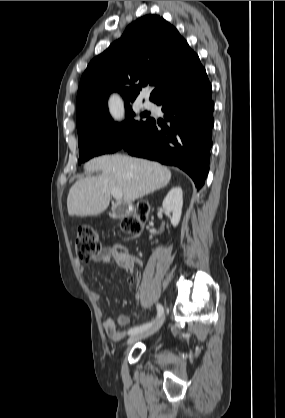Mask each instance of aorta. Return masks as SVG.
I'll return each mask as SVG.
<instances>
[{
	"mask_svg": "<svg viewBox=\"0 0 285 418\" xmlns=\"http://www.w3.org/2000/svg\"><path fill=\"white\" fill-rule=\"evenodd\" d=\"M109 105H110V110H111L112 115L117 119L120 118L122 115V107H121V103L118 97L116 96L111 97L109 101Z\"/></svg>",
	"mask_w": 285,
	"mask_h": 418,
	"instance_id": "762f6f07",
	"label": "aorta"
}]
</instances>
